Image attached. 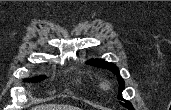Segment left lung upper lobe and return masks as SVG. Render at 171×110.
<instances>
[{
    "label": "left lung upper lobe",
    "mask_w": 171,
    "mask_h": 110,
    "mask_svg": "<svg viewBox=\"0 0 171 110\" xmlns=\"http://www.w3.org/2000/svg\"><path fill=\"white\" fill-rule=\"evenodd\" d=\"M87 63L95 65L97 67H102V68H106L109 69L110 71H112L113 73L117 74V78H118V83H119V94H118V99L125 101L122 98V91L124 90V81L121 78V76L119 75V70L116 67V65H114L113 63H109L103 59H91L89 60ZM122 106L130 109V110H134L132 104L129 101H125L124 103L120 102Z\"/></svg>",
    "instance_id": "left-lung-upper-lobe-1"
}]
</instances>
